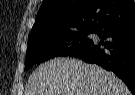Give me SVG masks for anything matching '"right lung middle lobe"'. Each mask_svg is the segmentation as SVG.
I'll return each mask as SVG.
<instances>
[{"label":"right lung middle lobe","mask_w":135,"mask_h":95,"mask_svg":"<svg viewBox=\"0 0 135 95\" xmlns=\"http://www.w3.org/2000/svg\"><path fill=\"white\" fill-rule=\"evenodd\" d=\"M93 30H79L66 33H40L30 37L26 54L25 70L33 64L53 57L73 56L88 46L92 40L87 37Z\"/></svg>","instance_id":"1"}]
</instances>
